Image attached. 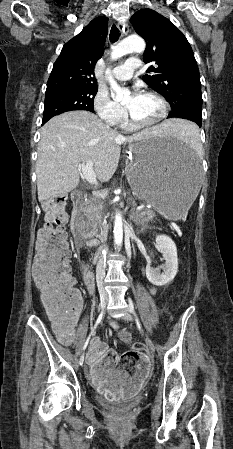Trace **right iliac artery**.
I'll list each match as a JSON object with an SVG mask.
<instances>
[{
	"label": "right iliac artery",
	"instance_id": "right-iliac-artery-1",
	"mask_svg": "<svg viewBox=\"0 0 233 449\" xmlns=\"http://www.w3.org/2000/svg\"><path fill=\"white\" fill-rule=\"evenodd\" d=\"M102 317H103V312L99 315V317H98V319H97V321H96V324H95L94 328H92L91 333H90V335H89L87 341L89 340L90 336L93 335V334L95 333V327L101 322ZM87 341H86V343H85V345H84V349H85L86 346H87ZM82 356H84V355H82Z\"/></svg>",
	"mask_w": 233,
	"mask_h": 449
}]
</instances>
